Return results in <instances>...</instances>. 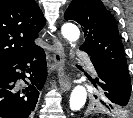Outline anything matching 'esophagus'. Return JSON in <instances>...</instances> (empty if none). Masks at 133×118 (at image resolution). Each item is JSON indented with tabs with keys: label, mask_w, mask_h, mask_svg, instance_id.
<instances>
[{
	"label": "esophagus",
	"mask_w": 133,
	"mask_h": 118,
	"mask_svg": "<svg viewBox=\"0 0 133 118\" xmlns=\"http://www.w3.org/2000/svg\"><path fill=\"white\" fill-rule=\"evenodd\" d=\"M52 53L55 66L58 71L60 87L64 92L69 91L71 88V82L68 76L66 75V59L64 49L61 42L55 37H53Z\"/></svg>",
	"instance_id": "esophagus-1"
}]
</instances>
